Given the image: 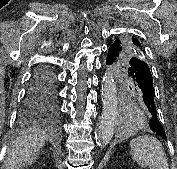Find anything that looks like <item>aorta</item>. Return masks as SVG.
I'll list each match as a JSON object with an SVG mask.
<instances>
[{"label":"aorta","mask_w":177,"mask_h":169,"mask_svg":"<svg viewBox=\"0 0 177 169\" xmlns=\"http://www.w3.org/2000/svg\"><path fill=\"white\" fill-rule=\"evenodd\" d=\"M102 102V117L96 134V143L101 148L105 147L112 139L118 121L116 85L109 72L103 77Z\"/></svg>","instance_id":"762f6f07"}]
</instances>
